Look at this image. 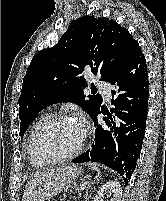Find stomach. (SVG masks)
<instances>
[{
    "mask_svg": "<svg viewBox=\"0 0 166 201\" xmlns=\"http://www.w3.org/2000/svg\"><path fill=\"white\" fill-rule=\"evenodd\" d=\"M76 166H66L56 170L37 189L33 191V196L29 201H50L53 196L63 191L65 187L75 181L79 175Z\"/></svg>",
    "mask_w": 166,
    "mask_h": 201,
    "instance_id": "1",
    "label": "stomach"
}]
</instances>
